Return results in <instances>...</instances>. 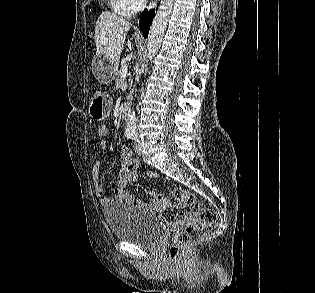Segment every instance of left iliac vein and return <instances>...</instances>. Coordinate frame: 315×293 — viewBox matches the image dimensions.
I'll return each instance as SVG.
<instances>
[{
  "mask_svg": "<svg viewBox=\"0 0 315 293\" xmlns=\"http://www.w3.org/2000/svg\"><path fill=\"white\" fill-rule=\"evenodd\" d=\"M134 150H135V153L139 156L142 155V152H143V147H142V143L140 140H136L135 143H134Z\"/></svg>",
  "mask_w": 315,
  "mask_h": 293,
  "instance_id": "4c4485c4",
  "label": "left iliac vein"
}]
</instances>
